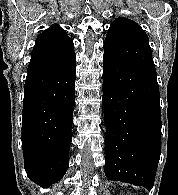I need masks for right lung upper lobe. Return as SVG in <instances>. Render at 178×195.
Masks as SVG:
<instances>
[{
  "mask_svg": "<svg viewBox=\"0 0 178 195\" xmlns=\"http://www.w3.org/2000/svg\"><path fill=\"white\" fill-rule=\"evenodd\" d=\"M74 61L76 56L73 41L55 24L37 37L27 73L66 67Z\"/></svg>",
  "mask_w": 178,
  "mask_h": 195,
  "instance_id": "obj_1",
  "label": "right lung upper lobe"
}]
</instances>
